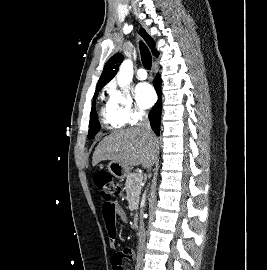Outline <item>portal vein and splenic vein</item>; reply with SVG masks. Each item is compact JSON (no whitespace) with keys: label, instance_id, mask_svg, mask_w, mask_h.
Returning <instances> with one entry per match:
<instances>
[{"label":"portal vein and splenic vein","instance_id":"18ae733b","mask_svg":"<svg viewBox=\"0 0 267 270\" xmlns=\"http://www.w3.org/2000/svg\"><path fill=\"white\" fill-rule=\"evenodd\" d=\"M142 179H143V177H142V175H140L139 177L136 178V181L142 182Z\"/></svg>","mask_w":267,"mask_h":270}]
</instances>
